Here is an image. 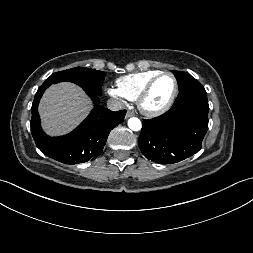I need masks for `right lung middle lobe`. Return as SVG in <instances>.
Masks as SVG:
<instances>
[{"mask_svg": "<svg viewBox=\"0 0 253 253\" xmlns=\"http://www.w3.org/2000/svg\"><path fill=\"white\" fill-rule=\"evenodd\" d=\"M106 74L89 68L76 67L52 74L44 83L49 85L61 81L73 82L82 87L86 93L100 95Z\"/></svg>", "mask_w": 253, "mask_h": 253, "instance_id": "right-lung-middle-lobe-1", "label": "right lung middle lobe"}]
</instances>
